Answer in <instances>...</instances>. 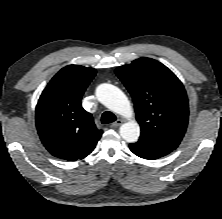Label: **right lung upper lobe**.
I'll use <instances>...</instances> for the list:
<instances>
[{
    "label": "right lung upper lobe",
    "mask_w": 222,
    "mask_h": 219,
    "mask_svg": "<svg viewBox=\"0 0 222 219\" xmlns=\"http://www.w3.org/2000/svg\"><path fill=\"white\" fill-rule=\"evenodd\" d=\"M96 70L80 65L62 68L48 83L36 106V127L46 149L67 161L85 158L102 131L81 105V98Z\"/></svg>",
    "instance_id": "obj_1"
}]
</instances>
